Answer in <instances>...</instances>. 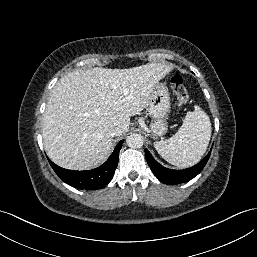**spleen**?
<instances>
[{
	"instance_id": "1",
	"label": "spleen",
	"mask_w": 257,
	"mask_h": 257,
	"mask_svg": "<svg viewBox=\"0 0 257 257\" xmlns=\"http://www.w3.org/2000/svg\"><path fill=\"white\" fill-rule=\"evenodd\" d=\"M210 137L209 116L195 106L194 112H187L178 132L166 141L154 142V147L172 165L188 167L196 164L204 155Z\"/></svg>"
}]
</instances>
